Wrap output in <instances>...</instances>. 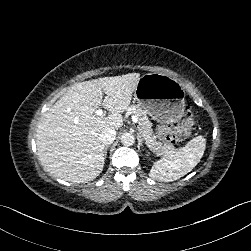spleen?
Returning <instances> with one entry per match:
<instances>
[{"label": "spleen", "mask_w": 251, "mask_h": 251, "mask_svg": "<svg viewBox=\"0 0 251 251\" xmlns=\"http://www.w3.org/2000/svg\"><path fill=\"white\" fill-rule=\"evenodd\" d=\"M205 149V139L197 136L184 147L169 152L149 173L150 178L169 182L184 176L197 165Z\"/></svg>", "instance_id": "1"}]
</instances>
